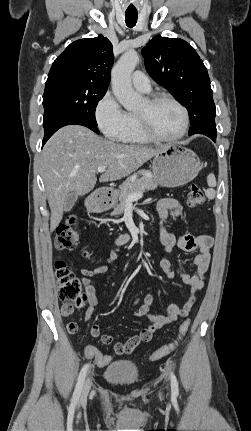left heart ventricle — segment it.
<instances>
[{
  "mask_svg": "<svg viewBox=\"0 0 251 431\" xmlns=\"http://www.w3.org/2000/svg\"><path fill=\"white\" fill-rule=\"evenodd\" d=\"M137 114L145 115L154 131L162 137L175 136L181 130L183 123L180 109L168 101L160 102L155 106H150L146 101Z\"/></svg>",
  "mask_w": 251,
  "mask_h": 431,
  "instance_id": "left-heart-ventricle-1",
  "label": "left heart ventricle"
}]
</instances>
